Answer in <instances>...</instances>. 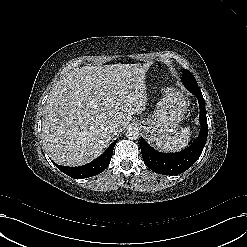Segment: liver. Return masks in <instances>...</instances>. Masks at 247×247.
Returning a JSON list of instances; mask_svg holds the SVG:
<instances>
[{
    "label": "liver",
    "mask_w": 247,
    "mask_h": 247,
    "mask_svg": "<svg viewBox=\"0 0 247 247\" xmlns=\"http://www.w3.org/2000/svg\"><path fill=\"white\" fill-rule=\"evenodd\" d=\"M151 63L83 66L59 80L43 111V147L51 159L65 166L84 165L107 148L131 115L145 110V74Z\"/></svg>",
    "instance_id": "1"
}]
</instances>
